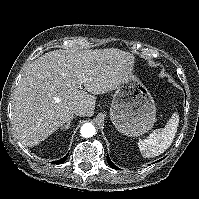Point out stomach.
I'll list each match as a JSON object with an SVG mask.
<instances>
[{"label": "stomach", "mask_w": 199, "mask_h": 199, "mask_svg": "<svg viewBox=\"0 0 199 199\" xmlns=\"http://www.w3.org/2000/svg\"><path fill=\"white\" fill-rule=\"evenodd\" d=\"M155 117L154 99L133 69L115 88L110 119L120 133L136 137L153 128Z\"/></svg>", "instance_id": "stomach-1"}]
</instances>
